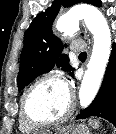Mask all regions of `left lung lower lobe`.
Returning a JSON list of instances; mask_svg holds the SVG:
<instances>
[{"label": "left lung lower lobe", "mask_w": 116, "mask_h": 134, "mask_svg": "<svg viewBox=\"0 0 116 134\" xmlns=\"http://www.w3.org/2000/svg\"><path fill=\"white\" fill-rule=\"evenodd\" d=\"M92 116L103 117L116 126V45L113 44L111 56L101 88L92 103L77 115V119Z\"/></svg>", "instance_id": "1"}]
</instances>
